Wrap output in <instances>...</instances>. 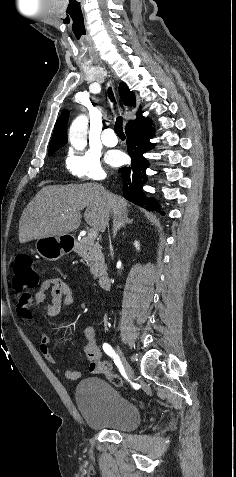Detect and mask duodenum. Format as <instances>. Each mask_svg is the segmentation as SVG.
<instances>
[{
  "label": "duodenum",
  "instance_id": "obj_1",
  "mask_svg": "<svg viewBox=\"0 0 236 477\" xmlns=\"http://www.w3.org/2000/svg\"><path fill=\"white\" fill-rule=\"evenodd\" d=\"M65 246L70 249L74 246V239H66L64 241ZM99 287L103 290H107L111 287V280L108 275H103L98 280Z\"/></svg>",
  "mask_w": 236,
  "mask_h": 477
}]
</instances>
